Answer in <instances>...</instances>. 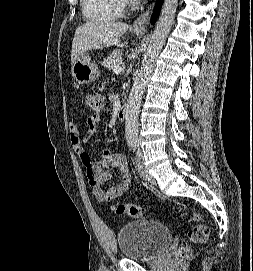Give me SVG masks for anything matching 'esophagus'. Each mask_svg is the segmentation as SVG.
Returning <instances> with one entry per match:
<instances>
[{
    "label": "esophagus",
    "mask_w": 253,
    "mask_h": 271,
    "mask_svg": "<svg viewBox=\"0 0 253 271\" xmlns=\"http://www.w3.org/2000/svg\"><path fill=\"white\" fill-rule=\"evenodd\" d=\"M154 6H155V0L133 22L132 30L134 32L142 34V33H145L147 31V27H148L150 18H151L152 14H153Z\"/></svg>",
    "instance_id": "esophagus-1"
}]
</instances>
